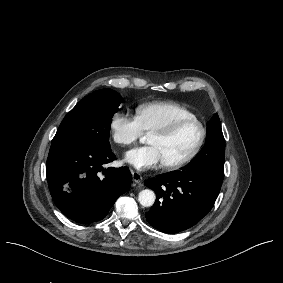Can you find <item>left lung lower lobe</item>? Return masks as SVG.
<instances>
[{
	"label": "left lung lower lobe",
	"mask_w": 283,
	"mask_h": 283,
	"mask_svg": "<svg viewBox=\"0 0 283 283\" xmlns=\"http://www.w3.org/2000/svg\"><path fill=\"white\" fill-rule=\"evenodd\" d=\"M215 154L204 155L194 166L151 178L145 185L156 193L153 207L145 213L148 223L164 233H178L198 223L213 207L222 182Z\"/></svg>",
	"instance_id": "1"
}]
</instances>
